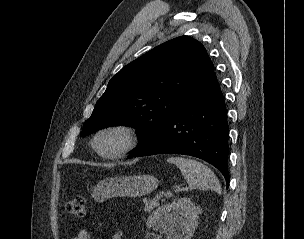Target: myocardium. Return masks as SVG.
Returning a JSON list of instances; mask_svg holds the SVG:
<instances>
[{
    "mask_svg": "<svg viewBox=\"0 0 304 239\" xmlns=\"http://www.w3.org/2000/svg\"><path fill=\"white\" fill-rule=\"evenodd\" d=\"M108 134H117L121 138V144L114 150L101 149L100 139ZM138 132L135 127L125 123H115L100 128L94 135L92 145L94 150L102 157L116 159L125 156L138 145Z\"/></svg>",
    "mask_w": 304,
    "mask_h": 239,
    "instance_id": "1",
    "label": "myocardium"
}]
</instances>
